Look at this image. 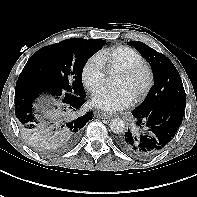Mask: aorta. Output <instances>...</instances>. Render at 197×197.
I'll return each instance as SVG.
<instances>
[{"label":"aorta","instance_id":"762f6f07","mask_svg":"<svg viewBox=\"0 0 197 197\" xmlns=\"http://www.w3.org/2000/svg\"><path fill=\"white\" fill-rule=\"evenodd\" d=\"M110 129L113 133H122L125 129V122L120 118H114L110 121Z\"/></svg>","mask_w":197,"mask_h":197}]
</instances>
